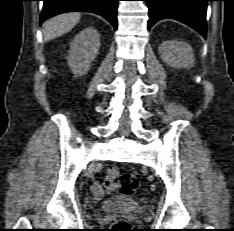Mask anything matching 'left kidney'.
Instances as JSON below:
<instances>
[{
    "mask_svg": "<svg viewBox=\"0 0 234 231\" xmlns=\"http://www.w3.org/2000/svg\"><path fill=\"white\" fill-rule=\"evenodd\" d=\"M162 60L175 68H189L194 65L193 49L188 43L172 40L164 41L158 48Z\"/></svg>",
    "mask_w": 234,
    "mask_h": 231,
    "instance_id": "1",
    "label": "left kidney"
}]
</instances>
